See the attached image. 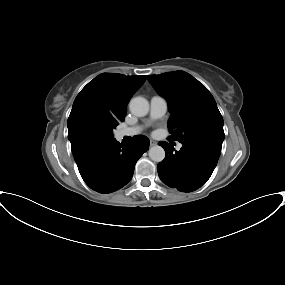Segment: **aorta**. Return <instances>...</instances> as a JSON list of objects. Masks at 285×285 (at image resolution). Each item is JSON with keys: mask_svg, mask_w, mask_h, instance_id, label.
Instances as JSON below:
<instances>
[{"mask_svg": "<svg viewBox=\"0 0 285 285\" xmlns=\"http://www.w3.org/2000/svg\"><path fill=\"white\" fill-rule=\"evenodd\" d=\"M131 113L138 117H143L149 112V102L144 97H135L129 103ZM149 157L155 162H161L165 158V150L161 146H153L149 149Z\"/></svg>", "mask_w": 285, "mask_h": 285, "instance_id": "762f6f07", "label": "aorta"}]
</instances>
